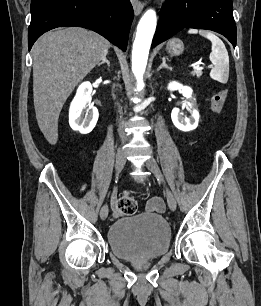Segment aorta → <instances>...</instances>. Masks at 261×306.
Returning a JSON list of instances; mask_svg holds the SVG:
<instances>
[{
    "label": "aorta",
    "mask_w": 261,
    "mask_h": 306,
    "mask_svg": "<svg viewBox=\"0 0 261 306\" xmlns=\"http://www.w3.org/2000/svg\"><path fill=\"white\" fill-rule=\"evenodd\" d=\"M157 24L156 12L147 10L140 19L132 51V72L137 80V90L144 87L143 75L146 69L149 49Z\"/></svg>",
    "instance_id": "obj_1"
}]
</instances>
